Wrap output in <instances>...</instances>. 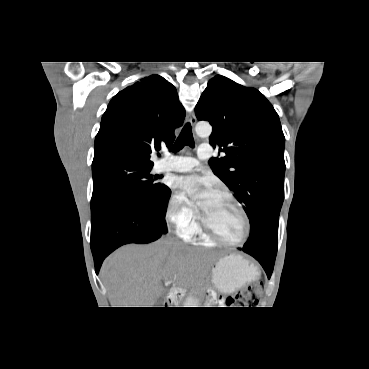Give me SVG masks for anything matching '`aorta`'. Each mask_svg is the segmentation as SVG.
Returning <instances> with one entry per match:
<instances>
[{"instance_id": "aorta-1", "label": "aorta", "mask_w": 369, "mask_h": 369, "mask_svg": "<svg viewBox=\"0 0 369 369\" xmlns=\"http://www.w3.org/2000/svg\"><path fill=\"white\" fill-rule=\"evenodd\" d=\"M195 131L199 137H208L212 132V127L207 122H200L196 125Z\"/></svg>"}]
</instances>
